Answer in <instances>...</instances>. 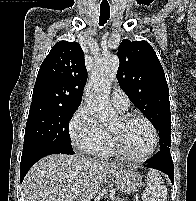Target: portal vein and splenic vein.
<instances>
[{"instance_id":"1","label":"portal vein and splenic vein","mask_w":196,"mask_h":201,"mask_svg":"<svg viewBox=\"0 0 196 201\" xmlns=\"http://www.w3.org/2000/svg\"><path fill=\"white\" fill-rule=\"evenodd\" d=\"M76 197H77V194L73 196V198H76Z\"/></svg>"}]
</instances>
